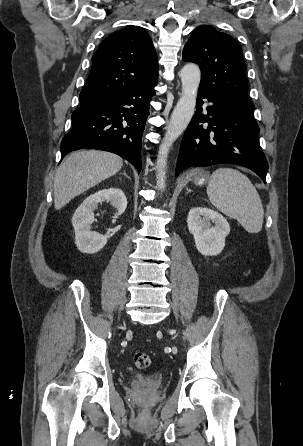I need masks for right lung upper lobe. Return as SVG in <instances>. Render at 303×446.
<instances>
[{
    "instance_id": "obj_1",
    "label": "right lung upper lobe",
    "mask_w": 303,
    "mask_h": 446,
    "mask_svg": "<svg viewBox=\"0 0 303 446\" xmlns=\"http://www.w3.org/2000/svg\"><path fill=\"white\" fill-rule=\"evenodd\" d=\"M91 74L80 93L81 104L158 79V59L144 28L111 33L92 57Z\"/></svg>"
}]
</instances>
